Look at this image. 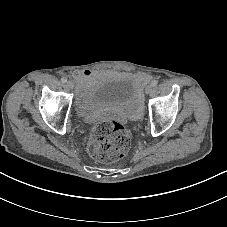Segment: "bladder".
Listing matches in <instances>:
<instances>
[{
	"instance_id": "31cf9c89",
	"label": "bladder",
	"mask_w": 227,
	"mask_h": 227,
	"mask_svg": "<svg viewBox=\"0 0 227 227\" xmlns=\"http://www.w3.org/2000/svg\"><path fill=\"white\" fill-rule=\"evenodd\" d=\"M142 102L133 79H103L96 82L85 97L81 116L93 117L105 105H111L127 116L133 115Z\"/></svg>"
}]
</instances>
